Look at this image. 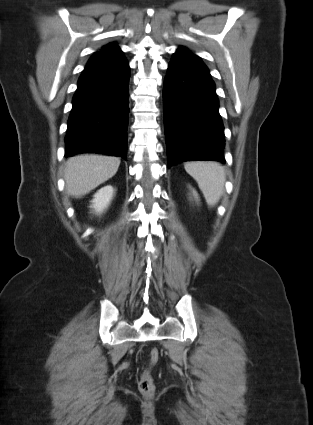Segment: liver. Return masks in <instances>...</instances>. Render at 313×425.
Here are the masks:
<instances>
[{"label":"liver","instance_id":"6515ba94","mask_svg":"<svg viewBox=\"0 0 313 425\" xmlns=\"http://www.w3.org/2000/svg\"><path fill=\"white\" fill-rule=\"evenodd\" d=\"M120 159L102 155H80L68 159L64 171L67 193L81 198L112 178Z\"/></svg>","mask_w":313,"mask_h":425}]
</instances>
